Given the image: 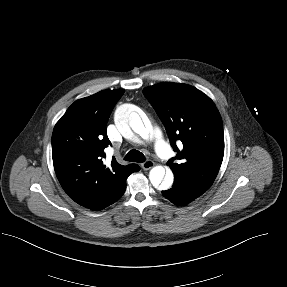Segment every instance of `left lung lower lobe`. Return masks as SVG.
<instances>
[{
    "label": "left lung lower lobe",
    "mask_w": 287,
    "mask_h": 287,
    "mask_svg": "<svg viewBox=\"0 0 287 287\" xmlns=\"http://www.w3.org/2000/svg\"><path fill=\"white\" fill-rule=\"evenodd\" d=\"M162 194L172 203L179 206H185L203 193L196 191L195 189H193L179 179H174L172 188L169 190L162 191Z\"/></svg>",
    "instance_id": "1"
}]
</instances>
